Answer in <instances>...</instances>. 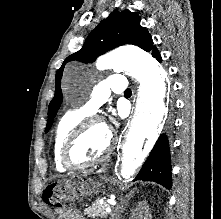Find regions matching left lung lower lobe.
Wrapping results in <instances>:
<instances>
[{
    "label": "left lung lower lobe",
    "mask_w": 221,
    "mask_h": 219,
    "mask_svg": "<svg viewBox=\"0 0 221 219\" xmlns=\"http://www.w3.org/2000/svg\"><path fill=\"white\" fill-rule=\"evenodd\" d=\"M151 53L159 62L162 61L156 47L152 49ZM135 180L154 181L166 188H171V156L169 142L165 134H162L157 140Z\"/></svg>",
    "instance_id": "left-lung-lower-lobe-1"
}]
</instances>
